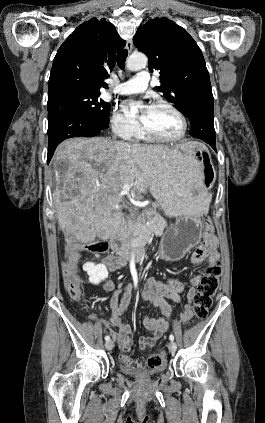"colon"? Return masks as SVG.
I'll list each match as a JSON object with an SVG mask.
<instances>
[{"label":"colon","instance_id":"colon-1","mask_svg":"<svg viewBox=\"0 0 265 423\" xmlns=\"http://www.w3.org/2000/svg\"><path fill=\"white\" fill-rule=\"evenodd\" d=\"M213 229L208 224L204 231L205 240L212 236ZM86 249L93 253H105L109 250V243L105 240L95 241L86 245ZM221 263L217 259L210 263L206 269L205 276L201 279V283L198 288V292L194 298V321L199 322L204 320L209 312V309L213 303V297L215 296L219 280L221 277ZM64 285L73 299H80L83 297V285L76 272V264L74 261H69L64 269ZM166 352L160 350L151 354L146 360V366L148 368L161 367L165 363Z\"/></svg>","mask_w":265,"mask_h":423}]
</instances>
